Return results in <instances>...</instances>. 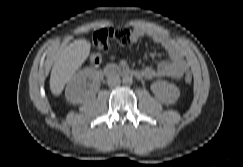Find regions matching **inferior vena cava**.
Instances as JSON below:
<instances>
[{"mask_svg": "<svg viewBox=\"0 0 243 167\" xmlns=\"http://www.w3.org/2000/svg\"><path fill=\"white\" fill-rule=\"evenodd\" d=\"M107 82L109 86L113 87L119 85L121 80L119 76H109Z\"/></svg>", "mask_w": 243, "mask_h": 167, "instance_id": "obj_1", "label": "inferior vena cava"}]
</instances>
